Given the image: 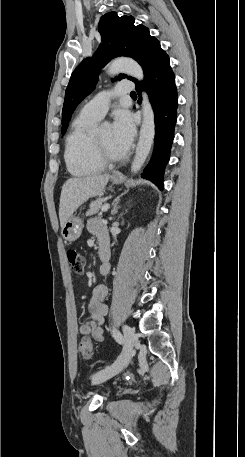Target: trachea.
Segmentation results:
<instances>
[{
	"instance_id": "1",
	"label": "trachea",
	"mask_w": 245,
	"mask_h": 457,
	"mask_svg": "<svg viewBox=\"0 0 245 457\" xmlns=\"http://www.w3.org/2000/svg\"><path fill=\"white\" fill-rule=\"evenodd\" d=\"M131 95H136V92H131Z\"/></svg>"
}]
</instances>
